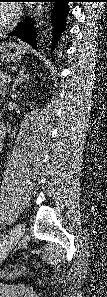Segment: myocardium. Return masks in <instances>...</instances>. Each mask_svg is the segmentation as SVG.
Here are the masks:
<instances>
[{
    "instance_id": "1",
    "label": "myocardium",
    "mask_w": 107,
    "mask_h": 297,
    "mask_svg": "<svg viewBox=\"0 0 107 297\" xmlns=\"http://www.w3.org/2000/svg\"><path fill=\"white\" fill-rule=\"evenodd\" d=\"M11 7L14 9L13 18L6 25L0 27V34L7 33L15 25L18 19L19 13L17 7L13 5Z\"/></svg>"
}]
</instances>
